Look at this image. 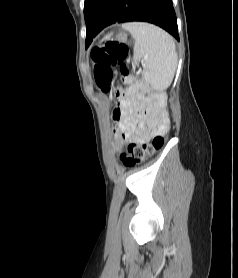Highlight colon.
Returning a JSON list of instances; mask_svg holds the SVG:
<instances>
[{
	"instance_id": "5ec220e1",
	"label": "colon",
	"mask_w": 238,
	"mask_h": 278,
	"mask_svg": "<svg viewBox=\"0 0 238 278\" xmlns=\"http://www.w3.org/2000/svg\"><path fill=\"white\" fill-rule=\"evenodd\" d=\"M128 54V47L116 41H105L91 50L94 78L102 92L111 93L116 66L120 67L124 75L128 74L126 67ZM163 143L164 137L160 134L155 135L149 143H131L127 151L121 155V161L127 167L133 166L161 148Z\"/></svg>"
}]
</instances>
